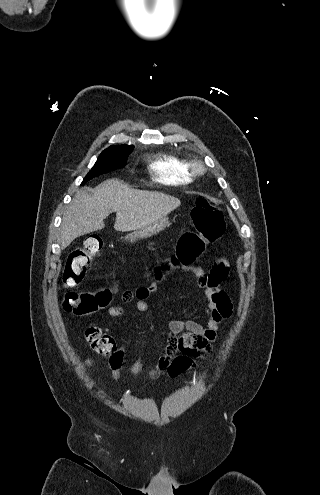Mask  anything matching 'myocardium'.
Instances as JSON below:
<instances>
[{"label": "myocardium", "instance_id": "myocardium-1", "mask_svg": "<svg viewBox=\"0 0 320 495\" xmlns=\"http://www.w3.org/2000/svg\"><path fill=\"white\" fill-rule=\"evenodd\" d=\"M189 168L193 174H201L205 171V165L201 160L198 159L190 160Z\"/></svg>", "mask_w": 320, "mask_h": 495}]
</instances>
